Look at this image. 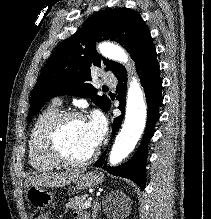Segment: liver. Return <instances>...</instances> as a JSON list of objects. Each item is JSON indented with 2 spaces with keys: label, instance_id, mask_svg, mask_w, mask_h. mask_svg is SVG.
<instances>
[{
  "label": "liver",
  "instance_id": "1",
  "mask_svg": "<svg viewBox=\"0 0 211 219\" xmlns=\"http://www.w3.org/2000/svg\"><path fill=\"white\" fill-rule=\"evenodd\" d=\"M84 173V170H69L60 173H44L31 176L27 179V186H41V187H62L77 179Z\"/></svg>",
  "mask_w": 211,
  "mask_h": 219
}]
</instances>
